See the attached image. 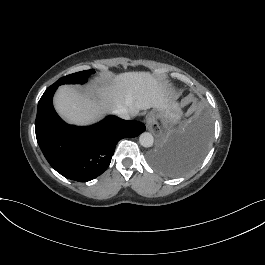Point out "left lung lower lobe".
<instances>
[{
  "mask_svg": "<svg viewBox=\"0 0 265 265\" xmlns=\"http://www.w3.org/2000/svg\"><path fill=\"white\" fill-rule=\"evenodd\" d=\"M211 122L200 113L181 132L167 137L149 154V162L164 174L177 177L195 168L209 146Z\"/></svg>",
  "mask_w": 265,
  "mask_h": 265,
  "instance_id": "1",
  "label": "left lung lower lobe"
}]
</instances>
